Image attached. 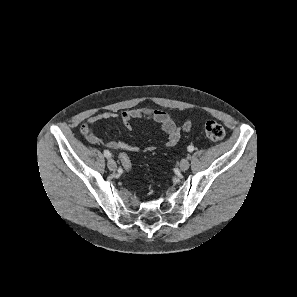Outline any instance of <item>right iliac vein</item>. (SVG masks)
<instances>
[{"label": "right iliac vein", "mask_w": 297, "mask_h": 297, "mask_svg": "<svg viewBox=\"0 0 297 297\" xmlns=\"http://www.w3.org/2000/svg\"><path fill=\"white\" fill-rule=\"evenodd\" d=\"M107 166L111 171H115L117 169V164L113 159L108 160Z\"/></svg>", "instance_id": "63e3f726"}]
</instances>
